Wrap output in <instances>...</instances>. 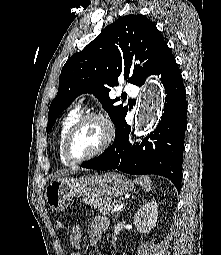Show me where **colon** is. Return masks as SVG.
<instances>
[{
    "instance_id": "obj_1",
    "label": "colon",
    "mask_w": 221,
    "mask_h": 255,
    "mask_svg": "<svg viewBox=\"0 0 221 255\" xmlns=\"http://www.w3.org/2000/svg\"><path fill=\"white\" fill-rule=\"evenodd\" d=\"M58 227L63 229L64 225L62 223H58ZM77 231V229H72V233H75Z\"/></svg>"
}]
</instances>
